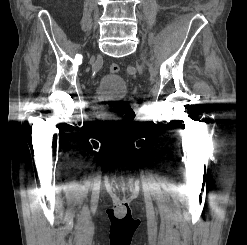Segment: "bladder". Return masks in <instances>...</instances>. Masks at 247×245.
Masks as SVG:
<instances>
[{"label": "bladder", "instance_id": "1", "mask_svg": "<svg viewBox=\"0 0 247 245\" xmlns=\"http://www.w3.org/2000/svg\"><path fill=\"white\" fill-rule=\"evenodd\" d=\"M128 91L125 80L117 74H106L97 82L94 95L97 99L117 97L126 94Z\"/></svg>", "mask_w": 247, "mask_h": 245}]
</instances>
